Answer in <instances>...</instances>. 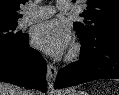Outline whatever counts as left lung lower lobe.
<instances>
[{"label":"left lung lower lobe","instance_id":"1","mask_svg":"<svg viewBox=\"0 0 119 95\" xmlns=\"http://www.w3.org/2000/svg\"><path fill=\"white\" fill-rule=\"evenodd\" d=\"M81 44L80 60L59 71L55 88L103 78L119 79V38Z\"/></svg>","mask_w":119,"mask_h":95}]
</instances>
